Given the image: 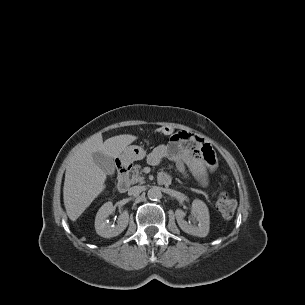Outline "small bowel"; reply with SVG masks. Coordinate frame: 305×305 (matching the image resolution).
<instances>
[{
	"mask_svg": "<svg viewBox=\"0 0 305 305\" xmlns=\"http://www.w3.org/2000/svg\"><path fill=\"white\" fill-rule=\"evenodd\" d=\"M165 159L173 161L181 173L189 172L203 185L207 184L209 174L217 167L210 144L202 137L186 131L178 132L169 143L157 146L148 155V162L153 166L159 165ZM160 175L170 178L166 172Z\"/></svg>",
	"mask_w": 305,
	"mask_h": 305,
	"instance_id": "1",
	"label": "small bowel"
}]
</instances>
